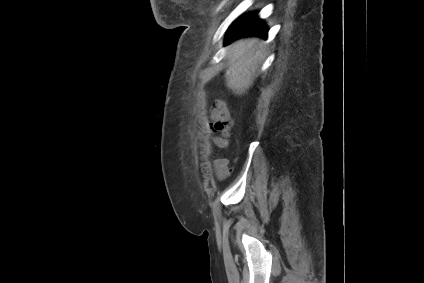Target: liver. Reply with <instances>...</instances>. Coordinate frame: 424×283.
<instances>
[{"label":"liver","instance_id":"liver-1","mask_svg":"<svg viewBox=\"0 0 424 283\" xmlns=\"http://www.w3.org/2000/svg\"><path fill=\"white\" fill-rule=\"evenodd\" d=\"M229 56L237 68L226 77L227 86L236 94L245 93L253 83L257 63L263 58V52L258 49L256 39H242L233 44Z\"/></svg>","mask_w":424,"mask_h":283}]
</instances>
